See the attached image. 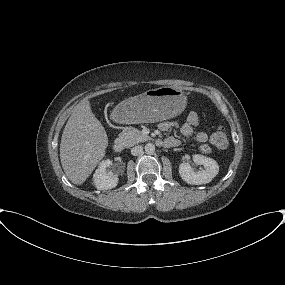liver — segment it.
I'll return each mask as SVG.
<instances>
[{
    "label": "liver",
    "instance_id": "6515ba94",
    "mask_svg": "<svg viewBox=\"0 0 285 285\" xmlns=\"http://www.w3.org/2000/svg\"><path fill=\"white\" fill-rule=\"evenodd\" d=\"M108 137L101 122L82 100L68 119L60 143V160L68 179L83 184L104 157Z\"/></svg>",
    "mask_w": 285,
    "mask_h": 285
}]
</instances>
